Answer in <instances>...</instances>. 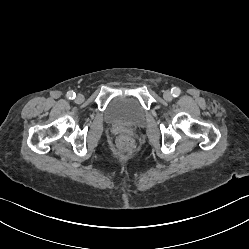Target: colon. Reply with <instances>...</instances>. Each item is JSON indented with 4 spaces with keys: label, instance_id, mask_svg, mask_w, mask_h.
<instances>
[{
    "label": "colon",
    "instance_id": "5ec220e1",
    "mask_svg": "<svg viewBox=\"0 0 249 249\" xmlns=\"http://www.w3.org/2000/svg\"><path fill=\"white\" fill-rule=\"evenodd\" d=\"M118 146L121 151L128 153L131 151L133 143L130 137L122 136L118 140Z\"/></svg>",
    "mask_w": 249,
    "mask_h": 249
}]
</instances>
